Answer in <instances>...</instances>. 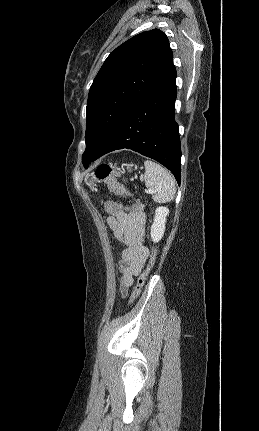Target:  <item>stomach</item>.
<instances>
[{
	"mask_svg": "<svg viewBox=\"0 0 259 431\" xmlns=\"http://www.w3.org/2000/svg\"><path fill=\"white\" fill-rule=\"evenodd\" d=\"M127 169H128V171H129V172H131V170H132V166H131V165H128V166H127ZM85 182H86V184H87V185H89V186H95V184H96V182H97V178H96L93 174H90V175H88V176L85 178Z\"/></svg>",
	"mask_w": 259,
	"mask_h": 431,
	"instance_id": "0dacf381",
	"label": "stomach"
}]
</instances>
